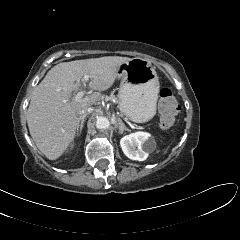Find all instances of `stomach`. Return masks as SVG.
<instances>
[{
    "label": "stomach",
    "instance_id": "stomach-1",
    "mask_svg": "<svg viewBox=\"0 0 240 240\" xmlns=\"http://www.w3.org/2000/svg\"><path fill=\"white\" fill-rule=\"evenodd\" d=\"M119 109L131 121L144 123L156 114L159 78L152 64L143 58H133L118 68Z\"/></svg>",
    "mask_w": 240,
    "mask_h": 240
}]
</instances>
